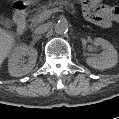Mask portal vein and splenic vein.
Returning a JSON list of instances; mask_svg holds the SVG:
<instances>
[{
    "label": "portal vein and splenic vein",
    "mask_w": 119,
    "mask_h": 119,
    "mask_svg": "<svg viewBox=\"0 0 119 119\" xmlns=\"http://www.w3.org/2000/svg\"><path fill=\"white\" fill-rule=\"evenodd\" d=\"M61 11L60 8H53V9H49V10H46V11H43L40 15H39V20L41 21H44L46 19H48L52 13H55V12H59Z\"/></svg>",
    "instance_id": "1"
}]
</instances>
